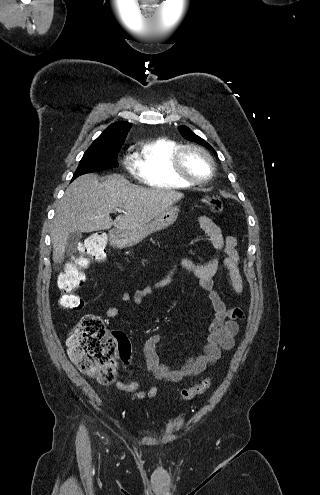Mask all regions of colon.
Here are the masks:
<instances>
[{"mask_svg":"<svg viewBox=\"0 0 320 495\" xmlns=\"http://www.w3.org/2000/svg\"><path fill=\"white\" fill-rule=\"evenodd\" d=\"M203 203L213 213L222 210L220 195L215 194L203 199ZM107 237L103 232L89 235L82 244L80 254L70 261L59 277V288L62 294L59 303L67 310L82 307L81 298L74 293L85 280V270L92 263L102 262L106 258ZM70 359L78 369L92 375L100 384L109 385L116 379L117 357L127 362L131 354V346L122 333L109 332L102 319L96 315L81 318L67 339ZM211 386V379L205 378L200 383L181 391L180 399L189 401L204 394ZM144 397L143 393L137 395Z\"/></svg>","mask_w":320,"mask_h":495,"instance_id":"colon-1","label":"colon"}]
</instances>
